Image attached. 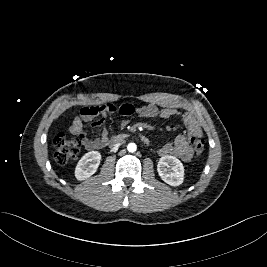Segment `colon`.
<instances>
[{"instance_id":"colon-1","label":"colon","mask_w":267,"mask_h":267,"mask_svg":"<svg viewBox=\"0 0 267 267\" xmlns=\"http://www.w3.org/2000/svg\"><path fill=\"white\" fill-rule=\"evenodd\" d=\"M83 137H68L64 133H58L54 138V157L57 163L66 164L75 159L81 151ZM190 145L196 156L202 155L204 151V141L199 137H191Z\"/></svg>"}]
</instances>
